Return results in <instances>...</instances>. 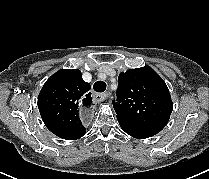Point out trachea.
<instances>
[{
    "mask_svg": "<svg viewBox=\"0 0 209 179\" xmlns=\"http://www.w3.org/2000/svg\"><path fill=\"white\" fill-rule=\"evenodd\" d=\"M93 89L98 93H102L106 90V83L103 81H97L93 85Z\"/></svg>",
    "mask_w": 209,
    "mask_h": 179,
    "instance_id": "obj_1",
    "label": "trachea"
}]
</instances>
